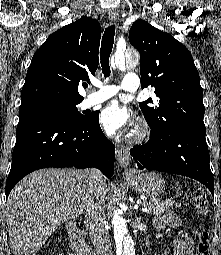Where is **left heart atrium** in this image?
<instances>
[{
	"label": "left heart atrium",
	"mask_w": 221,
	"mask_h": 255,
	"mask_svg": "<svg viewBox=\"0 0 221 255\" xmlns=\"http://www.w3.org/2000/svg\"><path fill=\"white\" fill-rule=\"evenodd\" d=\"M130 112L117 101L105 106L100 114V122L109 134H114L130 124Z\"/></svg>",
	"instance_id": "39dd6f15"
}]
</instances>
